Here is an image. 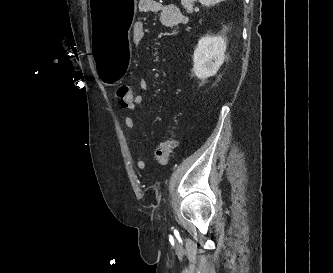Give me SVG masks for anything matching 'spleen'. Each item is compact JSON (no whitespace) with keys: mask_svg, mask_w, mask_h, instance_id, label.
Masks as SVG:
<instances>
[{"mask_svg":"<svg viewBox=\"0 0 333 273\" xmlns=\"http://www.w3.org/2000/svg\"><path fill=\"white\" fill-rule=\"evenodd\" d=\"M222 1H225V0H199V2L202 5H205V6L215 5V4L220 3Z\"/></svg>","mask_w":333,"mask_h":273,"instance_id":"3e777b00","label":"spleen"}]
</instances>
